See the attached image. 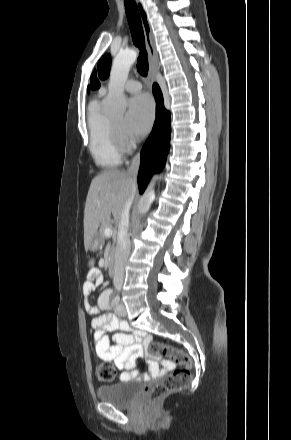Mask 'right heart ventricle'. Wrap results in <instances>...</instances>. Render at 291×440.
Here are the masks:
<instances>
[{"label": "right heart ventricle", "instance_id": "e07e8e85", "mask_svg": "<svg viewBox=\"0 0 291 440\" xmlns=\"http://www.w3.org/2000/svg\"><path fill=\"white\" fill-rule=\"evenodd\" d=\"M102 96L100 93L99 98ZM99 98L93 100L88 110L90 152L95 163L104 168L121 164V152L116 146L109 126V118L100 107Z\"/></svg>", "mask_w": 291, "mask_h": 440}]
</instances>
